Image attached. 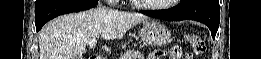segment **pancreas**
<instances>
[{"instance_id":"pancreas-1","label":"pancreas","mask_w":261,"mask_h":59,"mask_svg":"<svg viewBox=\"0 0 261 59\" xmlns=\"http://www.w3.org/2000/svg\"><path fill=\"white\" fill-rule=\"evenodd\" d=\"M120 59H144V56L141 52L136 50H127Z\"/></svg>"}]
</instances>
